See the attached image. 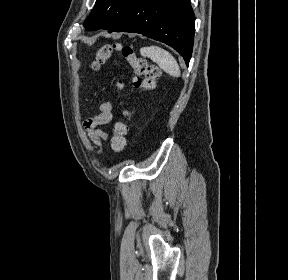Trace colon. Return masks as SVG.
<instances>
[{
    "label": "colon",
    "instance_id": "5ec220e1",
    "mask_svg": "<svg viewBox=\"0 0 288 280\" xmlns=\"http://www.w3.org/2000/svg\"><path fill=\"white\" fill-rule=\"evenodd\" d=\"M114 51H118L128 61L133 68L135 76L133 77V83L136 87L143 91H150L155 88L156 82L160 76V69L149 63L146 59L137 57L135 51L128 45H122L120 43L106 44L100 47L94 56L93 68L99 69L104 65L111 57ZM124 87L123 81L117 82L118 90H122ZM125 105V101L122 102ZM127 120L131 117L132 112L128 109L123 111ZM128 126L127 122H117L114 126V133L110 141V145L113 151L122 152L126 147V134Z\"/></svg>",
    "mask_w": 288,
    "mask_h": 280
}]
</instances>
